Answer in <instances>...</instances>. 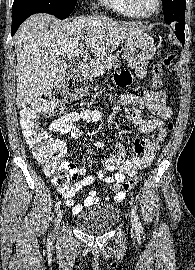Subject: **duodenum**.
Segmentation results:
<instances>
[{"instance_id": "410a0bca", "label": "duodenum", "mask_w": 195, "mask_h": 270, "mask_svg": "<svg viewBox=\"0 0 195 270\" xmlns=\"http://www.w3.org/2000/svg\"><path fill=\"white\" fill-rule=\"evenodd\" d=\"M80 73L85 77H90V70L86 64H82L80 67Z\"/></svg>"}]
</instances>
